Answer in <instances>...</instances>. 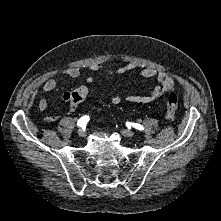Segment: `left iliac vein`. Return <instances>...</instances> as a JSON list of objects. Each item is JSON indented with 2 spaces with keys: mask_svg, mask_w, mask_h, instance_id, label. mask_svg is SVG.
<instances>
[{
  "mask_svg": "<svg viewBox=\"0 0 221 221\" xmlns=\"http://www.w3.org/2000/svg\"><path fill=\"white\" fill-rule=\"evenodd\" d=\"M123 135L127 136V137H133L134 136V132H132L131 130L128 129H124L121 131Z\"/></svg>",
  "mask_w": 221,
  "mask_h": 221,
  "instance_id": "left-iliac-vein-1",
  "label": "left iliac vein"
}]
</instances>
